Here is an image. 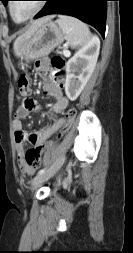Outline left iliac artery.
Wrapping results in <instances>:
<instances>
[{"mask_svg":"<svg viewBox=\"0 0 133 253\" xmlns=\"http://www.w3.org/2000/svg\"><path fill=\"white\" fill-rule=\"evenodd\" d=\"M46 170H47V168H43V169H41V170L38 171V174H42V173H44Z\"/></svg>","mask_w":133,"mask_h":253,"instance_id":"obj_1","label":"left iliac artery"}]
</instances>
